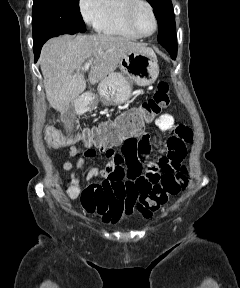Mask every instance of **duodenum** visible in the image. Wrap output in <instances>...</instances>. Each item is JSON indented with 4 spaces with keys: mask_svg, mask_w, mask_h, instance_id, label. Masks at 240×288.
<instances>
[{
    "mask_svg": "<svg viewBox=\"0 0 240 288\" xmlns=\"http://www.w3.org/2000/svg\"><path fill=\"white\" fill-rule=\"evenodd\" d=\"M90 102H91L90 95L82 96L77 102V111L81 114L85 113L89 108Z\"/></svg>",
    "mask_w": 240,
    "mask_h": 288,
    "instance_id": "410a0bca",
    "label": "duodenum"
}]
</instances>
